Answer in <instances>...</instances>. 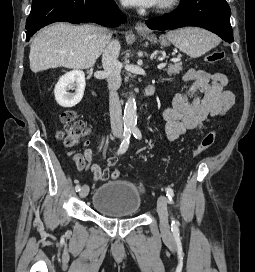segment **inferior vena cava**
<instances>
[{"label":"inferior vena cava","mask_w":255,"mask_h":272,"mask_svg":"<svg viewBox=\"0 0 255 272\" xmlns=\"http://www.w3.org/2000/svg\"><path fill=\"white\" fill-rule=\"evenodd\" d=\"M120 44L118 40H112L106 46L102 54V65L107 77L109 89V111L112 133L121 135L123 132L122 109L117 90L121 85V68L118 61Z\"/></svg>","instance_id":"1"}]
</instances>
